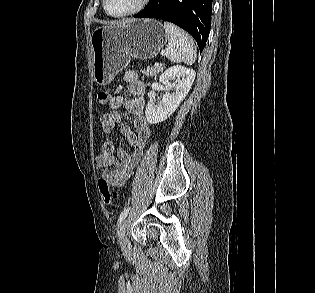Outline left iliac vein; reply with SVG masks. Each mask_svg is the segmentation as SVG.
I'll use <instances>...</instances> for the list:
<instances>
[{
  "label": "left iliac vein",
  "mask_w": 315,
  "mask_h": 293,
  "mask_svg": "<svg viewBox=\"0 0 315 293\" xmlns=\"http://www.w3.org/2000/svg\"><path fill=\"white\" fill-rule=\"evenodd\" d=\"M127 220L125 219L119 227V240L123 249H128L129 242L126 236Z\"/></svg>",
  "instance_id": "left-iliac-vein-1"
}]
</instances>
